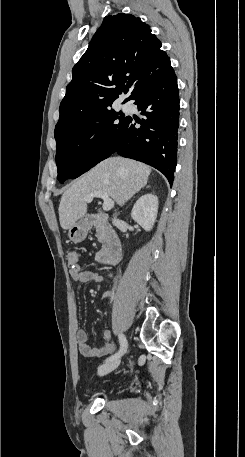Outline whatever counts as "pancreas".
I'll list each match as a JSON object with an SVG mask.
<instances>
[{"instance_id":"1","label":"pancreas","mask_w":245,"mask_h":457,"mask_svg":"<svg viewBox=\"0 0 245 457\" xmlns=\"http://www.w3.org/2000/svg\"><path fill=\"white\" fill-rule=\"evenodd\" d=\"M94 226L96 229L95 237H97V241H99V243H103V241H105V235H106L104 224H102V222H96V224H94Z\"/></svg>"}]
</instances>
